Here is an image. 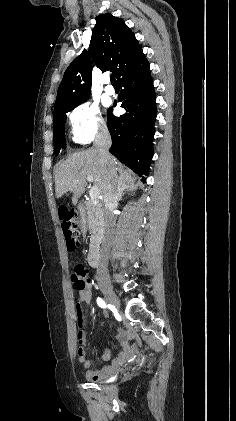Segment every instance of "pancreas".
I'll return each mask as SVG.
<instances>
[{"label":"pancreas","mask_w":236,"mask_h":421,"mask_svg":"<svg viewBox=\"0 0 236 421\" xmlns=\"http://www.w3.org/2000/svg\"><path fill=\"white\" fill-rule=\"evenodd\" d=\"M85 211L87 215V225L90 229V233H92L89 249L90 251H98L103 235V208H101L100 202L88 200V202H86Z\"/></svg>","instance_id":"obj_1"}]
</instances>
